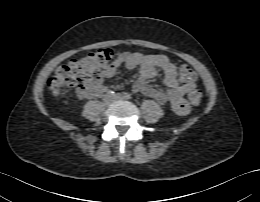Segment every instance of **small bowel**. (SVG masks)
<instances>
[{"instance_id": "obj_1", "label": "small bowel", "mask_w": 260, "mask_h": 202, "mask_svg": "<svg viewBox=\"0 0 260 202\" xmlns=\"http://www.w3.org/2000/svg\"><path fill=\"white\" fill-rule=\"evenodd\" d=\"M121 67L139 69L140 77L133 85L135 92L153 98L161 105L170 104L179 115L188 114L189 106L183 97L195 89V83H180L177 77L176 66L163 54L124 53L120 55L111 65L100 71L95 77L87 80L85 88L78 90L79 97L91 98L99 95L104 89V80L114 78ZM158 71L163 73V82L167 87L166 91H160L146 84L147 80L156 77ZM87 89L93 92L88 97L85 95Z\"/></svg>"}]
</instances>
